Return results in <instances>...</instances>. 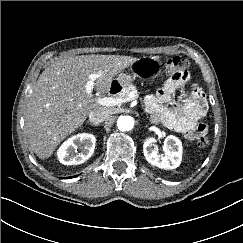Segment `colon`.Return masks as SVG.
<instances>
[{"instance_id":"colon-1","label":"colon","mask_w":243,"mask_h":243,"mask_svg":"<svg viewBox=\"0 0 243 243\" xmlns=\"http://www.w3.org/2000/svg\"><path fill=\"white\" fill-rule=\"evenodd\" d=\"M190 63L187 59L181 56H174L170 58L166 63V71L173 77H184L188 75ZM209 143V139L202 135L197 139L199 146H206Z\"/></svg>"}]
</instances>
